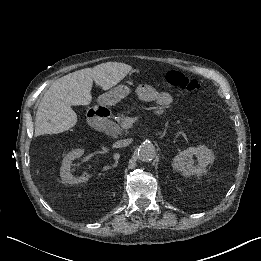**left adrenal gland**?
<instances>
[{"instance_id":"1","label":"left adrenal gland","mask_w":261,"mask_h":261,"mask_svg":"<svg viewBox=\"0 0 261 261\" xmlns=\"http://www.w3.org/2000/svg\"><path fill=\"white\" fill-rule=\"evenodd\" d=\"M166 133H167V128L164 130V132L160 135L159 138H163L166 135Z\"/></svg>"}]
</instances>
